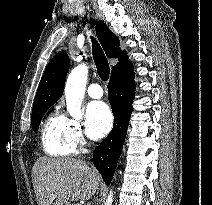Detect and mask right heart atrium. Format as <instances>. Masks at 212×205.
<instances>
[{"mask_svg": "<svg viewBox=\"0 0 212 205\" xmlns=\"http://www.w3.org/2000/svg\"><path fill=\"white\" fill-rule=\"evenodd\" d=\"M67 125L69 137L75 150L82 147L85 144V137L81 121L77 118H67Z\"/></svg>", "mask_w": 212, "mask_h": 205, "instance_id": "d8ad5b80", "label": "right heart atrium"}]
</instances>
